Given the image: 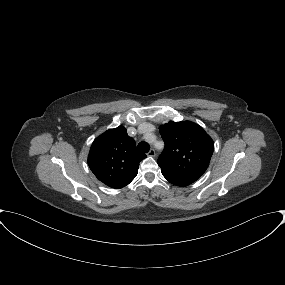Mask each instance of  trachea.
<instances>
[{
    "label": "trachea",
    "mask_w": 285,
    "mask_h": 285,
    "mask_svg": "<svg viewBox=\"0 0 285 285\" xmlns=\"http://www.w3.org/2000/svg\"><path fill=\"white\" fill-rule=\"evenodd\" d=\"M138 150L143 153L149 152V145L146 142H140L138 144Z\"/></svg>",
    "instance_id": "3493384b"
}]
</instances>
